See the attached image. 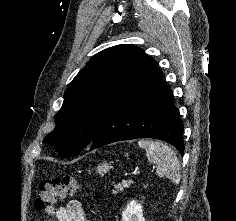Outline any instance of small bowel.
Here are the masks:
<instances>
[{
	"instance_id": "small-bowel-1",
	"label": "small bowel",
	"mask_w": 236,
	"mask_h": 221,
	"mask_svg": "<svg viewBox=\"0 0 236 221\" xmlns=\"http://www.w3.org/2000/svg\"><path fill=\"white\" fill-rule=\"evenodd\" d=\"M47 219L45 221H95L89 218L84 211L81 201L72 199L65 205L55 207L53 205L45 208Z\"/></svg>"
}]
</instances>
